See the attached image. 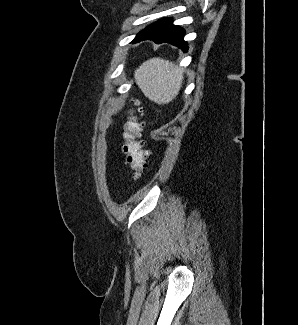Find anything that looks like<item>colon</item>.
<instances>
[{"mask_svg": "<svg viewBox=\"0 0 298 325\" xmlns=\"http://www.w3.org/2000/svg\"><path fill=\"white\" fill-rule=\"evenodd\" d=\"M139 111H131L129 119L123 127L122 153L130 169L131 177L136 180L147 168L148 152L140 140L142 124L137 116Z\"/></svg>", "mask_w": 298, "mask_h": 325, "instance_id": "1", "label": "colon"}]
</instances>
